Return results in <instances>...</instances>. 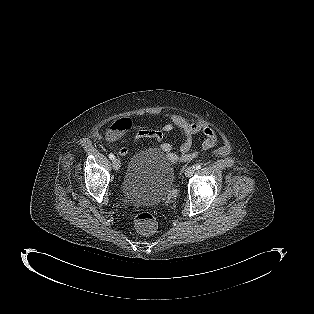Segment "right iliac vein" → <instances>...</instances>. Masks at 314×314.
<instances>
[{
	"label": "right iliac vein",
	"mask_w": 314,
	"mask_h": 314,
	"mask_svg": "<svg viewBox=\"0 0 314 314\" xmlns=\"http://www.w3.org/2000/svg\"><path fill=\"white\" fill-rule=\"evenodd\" d=\"M112 164H113L114 170H115V171H119L120 165H121L120 160L117 159V158H115V159H113Z\"/></svg>",
	"instance_id": "obj_1"
}]
</instances>
